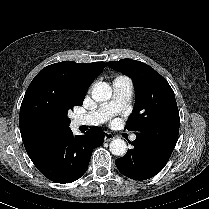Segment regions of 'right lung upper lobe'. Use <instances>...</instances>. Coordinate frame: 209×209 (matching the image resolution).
<instances>
[{"mask_svg":"<svg viewBox=\"0 0 209 209\" xmlns=\"http://www.w3.org/2000/svg\"><path fill=\"white\" fill-rule=\"evenodd\" d=\"M107 66L105 62L76 63L63 61L45 67L44 69H57L73 73L78 78L82 91L86 94L93 80ZM21 137L29 157H33L52 140L62 135L68 129H48L37 126L28 121L22 113L19 117Z\"/></svg>","mask_w":209,"mask_h":209,"instance_id":"obj_1","label":"right lung upper lobe"}]
</instances>
